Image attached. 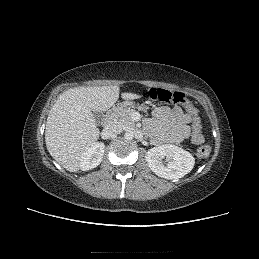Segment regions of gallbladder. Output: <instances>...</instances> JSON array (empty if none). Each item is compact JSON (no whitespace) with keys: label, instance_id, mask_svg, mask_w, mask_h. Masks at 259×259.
<instances>
[{"label":"gallbladder","instance_id":"obj_1","mask_svg":"<svg viewBox=\"0 0 259 259\" xmlns=\"http://www.w3.org/2000/svg\"><path fill=\"white\" fill-rule=\"evenodd\" d=\"M93 117H94V119H95L97 124H101L103 122V120H104L103 112H96V111H94L93 112Z\"/></svg>","mask_w":259,"mask_h":259}]
</instances>
